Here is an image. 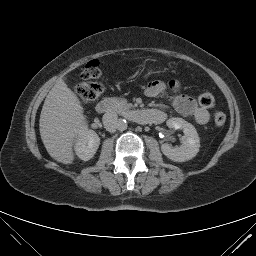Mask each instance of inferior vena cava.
<instances>
[{"mask_svg": "<svg viewBox=\"0 0 256 256\" xmlns=\"http://www.w3.org/2000/svg\"><path fill=\"white\" fill-rule=\"evenodd\" d=\"M118 115L114 111H107L102 118L104 127L109 132H115L118 129Z\"/></svg>", "mask_w": 256, "mask_h": 256, "instance_id": "602c4592", "label": "inferior vena cava"}]
</instances>
